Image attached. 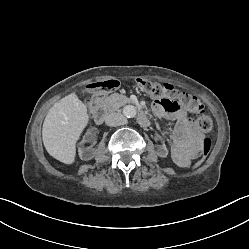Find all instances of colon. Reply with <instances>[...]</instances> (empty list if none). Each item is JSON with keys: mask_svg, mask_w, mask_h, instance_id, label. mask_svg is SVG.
<instances>
[{"mask_svg": "<svg viewBox=\"0 0 249 249\" xmlns=\"http://www.w3.org/2000/svg\"><path fill=\"white\" fill-rule=\"evenodd\" d=\"M136 84L149 96L156 100L162 101L168 109L170 101H176L186 106L189 110L195 113L196 123L202 131L209 132L212 129V118L204 110L203 106L196 97L184 92H179L169 84H161L144 78H137ZM118 85L119 83L115 79L90 84L88 86V90L91 94V98L89 100L90 109H94L100 103L103 96L107 92L117 88ZM211 147L212 141L210 138L206 137L203 140L202 146L192 152V158L197 161L203 160L208 155Z\"/></svg>", "mask_w": 249, "mask_h": 249, "instance_id": "obj_1", "label": "colon"}]
</instances>
